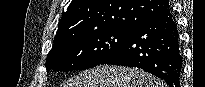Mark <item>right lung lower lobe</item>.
Segmentation results:
<instances>
[{
	"instance_id": "98d812e1",
	"label": "right lung lower lobe",
	"mask_w": 205,
	"mask_h": 87,
	"mask_svg": "<svg viewBox=\"0 0 205 87\" xmlns=\"http://www.w3.org/2000/svg\"><path fill=\"white\" fill-rule=\"evenodd\" d=\"M100 64L141 68L170 87H180L182 53L171 9L142 23Z\"/></svg>"
}]
</instances>
